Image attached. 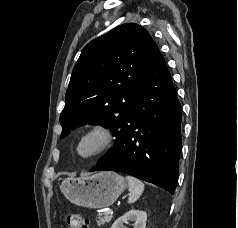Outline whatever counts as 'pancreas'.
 <instances>
[{
	"label": "pancreas",
	"instance_id": "1",
	"mask_svg": "<svg viewBox=\"0 0 238 228\" xmlns=\"http://www.w3.org/2000/svg\"><path fill=\"white\" fill-rule=\"evenodd\" d=\"M111 218H112V215L110 214L104 215L103 217H99V219L97 220V225L98 226L104 225L105 223L110 222Z\"/></svg>",
	"mask_w": 238,
	"mask_h": 228
}]
</instances>
